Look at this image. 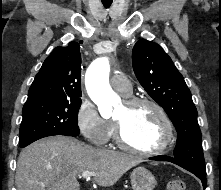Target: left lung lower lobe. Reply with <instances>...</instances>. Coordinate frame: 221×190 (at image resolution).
Segmentation results:
<instances>
[{"instance_id":"1","label":"left lung lower lobe","mask_w":221,"mask_h":190,"mask_svg":"<svg viewBox=\"0 0 221 190\" xmlns=\"http://www.w3.org/2000/svg\"><path fill=\"white\" fill-rule=\"evenodd\" d=\"M150 160L168 161V162H172L174 164L179 165L180 167H182V168L190 171L194 175H196L202 181L203 188L205 189L206 184H207L206 169L196 168L194 166H191V165H189V164H187L185 162H182V161L178 160L175 157L164 156V155H159V156L151 157Z\"/></svg>"}]
</instances>
